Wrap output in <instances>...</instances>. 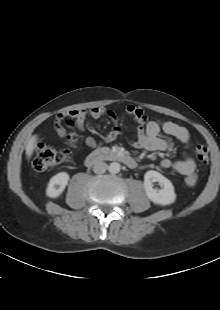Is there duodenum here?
Listing matches in <instances>:
<instances>
[{
    "instance_id": "duodenum-1",
    "label": "duodenum",
    "mask_w": 220,
    "mask_h": 310,
    "mask_svg": "<svg viewBox=\"0 0 220 310\" xmlns=\"http://www.w3.org/2000/svg\"><path fill=\"white\" fill-rule=\"evenodd\" d=\"M114 161L126 165L130 169L136 168V161L133 157L116 150L106 148L97 149L91 152L85 159L87 166H93L101 161Z\"/></svg>"
}]
</instances>
